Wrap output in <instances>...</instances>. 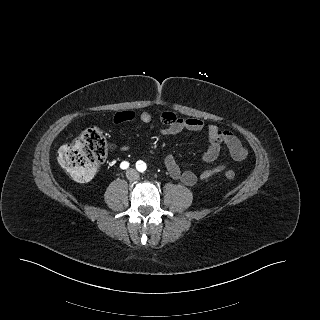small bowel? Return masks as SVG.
Masks as SVG:
<instances>
[{
  "label": "small bowel",
  "mask_w": 320,
  "mask_h": 320,
  "mask_svg": "<svg viewBox=\"0 0 320 320\" xmlns=\"http://www.w3.org/2000/svg\"><path fill=\"white\" fill-rule=\"evenodd\" d=\"M136 118V114L133 111H119L114 117L113 121L116 124H123L130 122ZM142 123H149L151 121V115L147 112H142L138 116ZM164 127L160 129L159 133L162 136L176 135L182 131H202L207 132L209 138V146L203 154V161L206 163L214 162L222 149L225 146L231 157L235 161H242L247 155V150L232 132L224 129H220L214 124H205L202 120L197 118H182L170 111H163L160 115ZM121 150H126V146H121ZM164 166L169 175L181 181L187 186H193L198 182L206 181L211 177L223 172L227 169L228 164L223 163L217 166L203 170L200 173H196L190 169H182L176 158L168 154L164 157Z\"/></svg>",
  "instance_id": "small-bowel-1"
}]
</instances>
